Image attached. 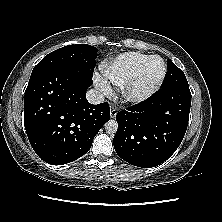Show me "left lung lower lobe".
Wrapping results in <instances>:
<instances>
[{"label": "left lung lower lobe", "mask_w": 222, "mask_h": 222, "mask_svg": "<svg viewBox=\"0 0 222 222\" xmlns=\"http://www.w3.org/2000/svg\"><path fill=\"white\" fill-rule=\"evenodd\" d=\"M190 106L189 86L176 85L162 87L147 100L120 111L113 139L116 153L138 167L163 163L183 140Z\"/></svg>", "instance_id": "1"}]
</instances>
